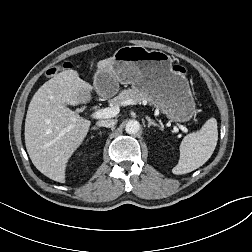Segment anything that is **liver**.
I'll use <instances>...</instances> for the list:
<instances>
[{
    "instance_id": "obj_1",
    "label": "liver",
    "mask_w": 252,
    "mask_h": 252,
    "mask_svg": "<svg viewBox=\"0 0 252 252\" xmlns=\"http://www.w3.org/2000/svg\"><path fill=\"white\" fill-rule=\"evenodd\" d=\"M111 62L112 57L99 61L97 70H109ZM91 91L77 71L65 70L45 82L29 104L25 120L27 152L34 166L56 182L65 183L67 162L91 125L65 105H79Z\"/></svg>"
}]
</instances>
